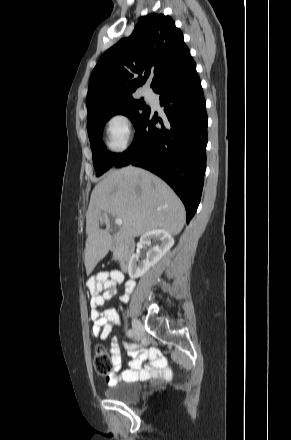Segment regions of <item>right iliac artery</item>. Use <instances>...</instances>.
Wrapping results in <instances>:
<instances>
[{
	"mask_svg": "<svg viewBox=\"0 0 291 440\" xmlns=\"http://www.w3.org/2000/svg\"><path fill=\"white\" fill-rule=\"evenodd\" d=\"M127 335H128L129 337H133V331H132L131 329L128 330Z\"/></svg>",
	"mask_w": 291,
	"mask_h": 440,
	"instance_id": "82829eb1",
	"label": "right iliac artery"
}]
</instances>
